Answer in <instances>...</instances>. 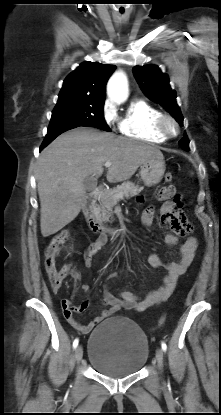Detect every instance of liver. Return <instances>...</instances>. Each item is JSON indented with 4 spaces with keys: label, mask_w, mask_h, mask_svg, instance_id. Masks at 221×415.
<instances>
[{
    "label": "liver",
    "mask_w": 221,
    "mask_h": 415,
    "mask_svg": "<svg viewBox=\"0 0 221 415\" xmlns=\"http://www.w3.org/2000/svg\"><path fill=\"white\" fill-rule=\"evenodd\" d=\"M153 157L163 158L157 147L93 128L79 127L57 137L37 162L43 237L55 234L78 216L86 200L84 179L101 176L106 161L111 162L107 180L121 182Z\"/></svg>",
    "instance_id": "obj_1"
}]
</instances>
